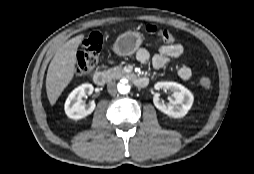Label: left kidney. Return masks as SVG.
<instances>
[{"instance_id": "left-kidney-1", "label": "left kidney", "mask_w": 254, "mask_h": 174, "mask_svg": "<svg viewBox=\"0 0 254 174\" xmlns=\"http://www.w3.org/2000/svg\"><path fill=\"white\" fill-rule=\"evenodd\" d=\"M155 88H163L171 93L170 104H166L158 96L153 98L156 108L168 116L174 118L184 117L192 107L193 94L183 85L176 82H158Z\"/></svg>"}]
</instances>
